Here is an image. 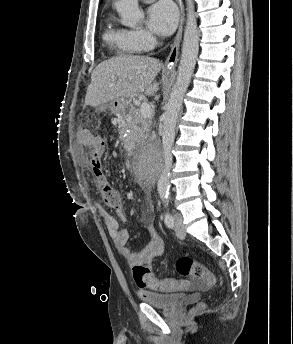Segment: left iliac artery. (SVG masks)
I'll list each match as a JSON object with an SVG mask.
<instances>
[{
  "instance_id": "1",
  "label": "left iliac artery",
  "mask_w": 293,
  "mask_h": 344,
  "mask_svg": "<svg viewBox=\"0 0 293 344\" xmlns=\"http://www.w3.org/2000/svg\"><path fill=\"white\" fill-rule=\"evenodd\" d=\"M162 200L165 204V206L168 204V196H163L162 197ZM164 222L166 224V226L168 228H172L173 227V224H174V219H173V216L171 215V213L169 211H166L165 215H164Z\"/></svg>"
}]
</instances>
